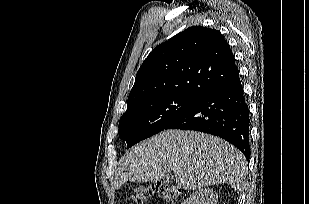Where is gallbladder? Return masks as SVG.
<instances>
[{
	"label": "gallbladder",
	"mask_w": 309,
	"mask_h": 204,
	"mask_svg": "<svg viewBox=\"0 0 309 204\" xmlns=\"http://www.w3.org/2000/svg\"><path fill=\"white\" fill-rule=\"evenodd\" d=\"M165 180L166 182H171L173 180V177L171 175H166Z\"/></svg>",
	"instance_id": "gallbladder-1"
}]
</instances>
